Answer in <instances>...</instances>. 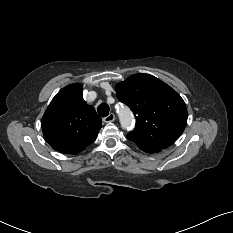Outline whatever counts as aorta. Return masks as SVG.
<instances>
[{
    "label": "aorta",
    "instance_id": "obj_1",
    "mask_svg": "<svg viewBox=\"0 0 233 233\" xmlns=\"http://www.w3.org/2000/svg\"><path fill=\"white\" fill-rule=\"evenodd\" d=\"M117 114L121 127L125 130L132 129L134 124V117L131 110L127 106L121 105L117 108Z\"/></svg>",
    "mask_w": 233,
    "mask_h": 233
}]
</instances>
